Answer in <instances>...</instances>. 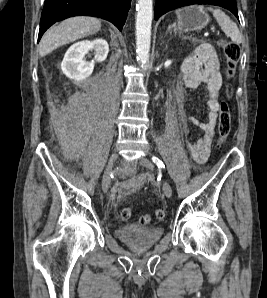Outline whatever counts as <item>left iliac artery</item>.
Wrapping results in <instances>:
<instances>
[{
	"label": "left iliac artery",
	"instance_id": "left-iliac-artery-1",
	"mask_svg": "<svg viewBox=\"0 0 267 298\" xmlns=\"http://www.w3.org/2000/svg\"><path fill=\"white\" fill-rule=\"evenodd\" d=\"M152 161L157 165V167L159 169H164L165 168V165L164 163L156 156H152Z\"/></svg>",
	"mask_w": 267,
	"mask_h": 298
}]
</instances>
